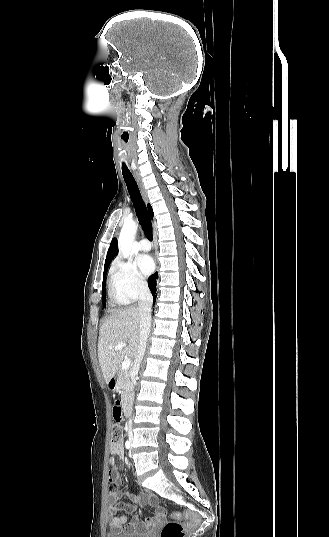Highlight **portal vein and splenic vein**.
Returning a JSON list of instances; mask_svg holds the SVG:
<instances>
[{"label": "portal vein and splenic vein", "mask_w": 329, "mask_h": 537, "mask_svg": "<svg viewBox=\"0 0 329 537\" xmlns=\"http://www.w3.org/2000/svg\"><path fill=\"white\" fill-rule=\"evenodd\" d=\"M126 346V343H119L116 347H115V351L119 350V349H122L123 347ZM130 364H131V360L130 359H125L122 363V368L127 370L129 369L130 367Z\"/></svg>", "instance_id": "18ae733b"}]
</instances>
